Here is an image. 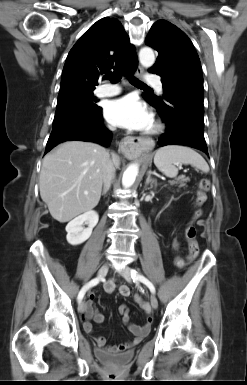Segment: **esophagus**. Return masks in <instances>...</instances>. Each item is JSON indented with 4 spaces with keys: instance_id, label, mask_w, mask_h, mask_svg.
<instances>
[{
    "instance_id": "1",
    "label": "esophagus",
    "mask_w": 247,
    "mask_h": 385,
    "mask_svg": "<svg viewBox=\"0 0 247 385\" xmlns=\"http://www.w3.org/2000/svg\"><path fill=\"white\" fill-rule=\"evenodd\" d=\"M142 74L143 68L139 65L136 70V75L141 76ZM120 150L124 153L125 156H131L137 152V150H142V146L139 139H135L133 137H125L120 142Z\"/></svg>"
}]
</instances>
